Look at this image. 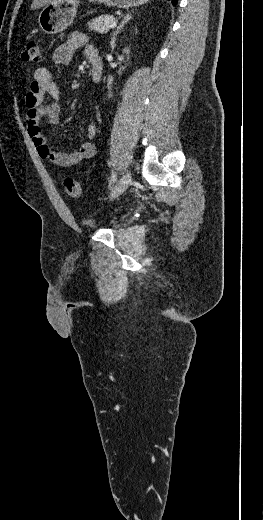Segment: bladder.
<instances>
[{
  "label": "bladder",
  "instance_id": "31cf9c89",
  "mask_svg": "<svg viewBox=\"0 0 263 520\" xmlns=\"http://www.w3.org/2000/svg\"><path fill=\"white\" fill-rule=\"evenodd\" d=\"M83 224L89 228H96L102 224V221L93 217H86L83 219Z\"/></svg>",
  "mask_w": 263,
  "mask_h": 520
}]
</instances>
